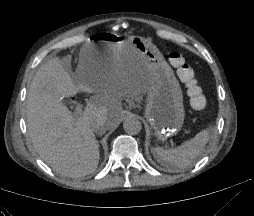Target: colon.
I'll return each mask as SVG.
<instances>
[{
    "mask_svg": "<svg viewBox=\"0 0 254 216\" xmlns=\"http://www.w3.org/2000/svg\"><path fill=\"white\" fill-rule=\"evenodd\" d=\"M169 62L176 68L179 79L185 84L192 107L196 110L204 109L206 99L193 68L186 63L184 57L178 52L169 53Z\"/></svg>",
    "mask_w": 254,
    "mask_h": 216,
    "instance_id": "colon-1",
    "label": "colon"
}]
</instances>
